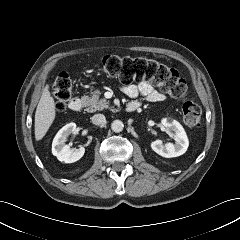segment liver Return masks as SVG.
<instances>
[{"mask_svg":"<svg viewBox=\"0 0 240 240\" xmlns=\"http://www.w3.org/2000/svg\"><path fill=\"white\" fill-rule=\"evenodd\" d=\"M55 115V102L50 95L49 87L46 86L35 112V139L37 141L45 136L55 119Z\"/></svg>","mask_w":240,"mask_h":240,"instance_id":"liver-1","label":"liver"}]
</instances>
